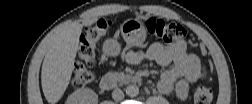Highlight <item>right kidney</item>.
Wrapping results in <instances>:
<instances>
[{"mask_svg":"<svg viewBox=\"0 0 252 104\" xmlns=\"http://www.w3.org/2000/svg\"><path fill=\"white\" fill-rule=\"evenodd\" d=\"M98 97L91 89H79L68 96V104H96Z\"/></svg>","mask_w":252,"mask_h":104,"instance_id":"1","label":"right kidney"}]
</instances>
